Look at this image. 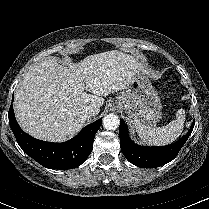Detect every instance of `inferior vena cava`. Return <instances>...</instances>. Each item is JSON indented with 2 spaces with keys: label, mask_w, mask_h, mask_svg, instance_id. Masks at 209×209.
<instances>
[{
  "label": "inferior vena cava",
  "mask_w": 209,
  "mask_h": 209,
  "mask_svg": "<svg viewBox=\"0 0 209 209\" xmlns=\"http://www.w3.org/2000/svg\"><path fill=\"white\" fill-rule=\"evenodd\" d=\"M97 113V109L94 108L93 106H87L85 108V114L88 116H93Z\"/></svg>",
  "instance_id": "602c4592"
}]
</instances>
